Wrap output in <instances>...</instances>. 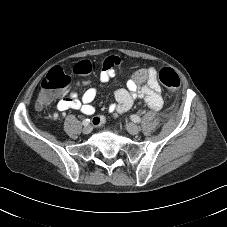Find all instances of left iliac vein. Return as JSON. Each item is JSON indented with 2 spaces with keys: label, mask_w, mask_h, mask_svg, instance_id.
Wrapping results in <instances>:
<instances>
[{
  "label": "left iliac vein",
  "mask_w": 227,
  "mask_h": 227,
  "mask_svg": "<svg viewBox=\"0 0 227 227\" xmlns=\"http://www.w3.org/2000/svg\"><path fill=\"white\" fill-rule=\"evenodd\" d=\"M126 130L132 135H137L140 132V128L134 123L126 124Z\"/></svg>",
  "instance_id": "4c4485c4"
}]
</instances>
